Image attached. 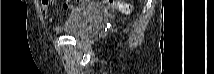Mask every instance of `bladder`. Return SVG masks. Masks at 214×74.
<instances>
[{
    "label": "bladder",
    "mask_w": 214,
    "mask_h": 74,
    "mask_svg": "<svg viewBox=\"0 0 214 74\" xmlns=\"http://www.w3.org/2000/svg\"><path fill=\"white\" fill-rule=\"evenodd\" d=\"M108 16L101 6L94 2H84L74 9L62 26V32L79 39L91 37Z\"/></svg>",
    "instance_id": "31cf9c89"
}]
</instances>
